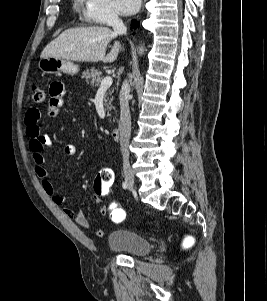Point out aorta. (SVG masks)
I'll return each mask as SVG.
<instances>
[{
	"label": "aorta",
	"instance_id": "1",
	"mask_svg": "<svg viewBox=\"0 0 267 301\" xmlns=\"http://www.w3.org/2000/svg\"><path fill=\"white\" fill-rule=\"evenodd\" d=\"M139 54H143V52H144V48H143V46H141V47H139Z\"/></svg>",
	"mask_w": 267,
	"mask_h": 301
}]
</instances>
